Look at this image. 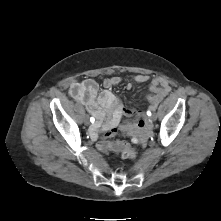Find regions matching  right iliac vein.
Segmentation results:
<instances>
[{"mask_svg":"<svg viewBox=\"0 0 221 221\" xmlns=\"http://www.w3.org/2000/svg\"><path fill=\"white\" fill-rule=\"evenodd\" d=\"M84 123L85 125H89V119L87 115L84 117Z\"/></svg>","mask_w":221,"mask_h":221,"instance_id":"obj_1","label":"right iliac vein"}]
</instances>
